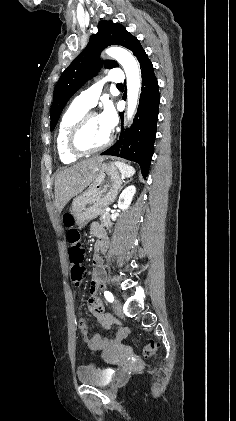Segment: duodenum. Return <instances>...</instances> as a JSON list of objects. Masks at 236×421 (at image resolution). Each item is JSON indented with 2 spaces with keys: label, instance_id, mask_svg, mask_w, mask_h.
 <instances>
[{
  "label": "duodenum",
  "instance_id": "obj_1",
  "mask_svg": "<svg viewBox=\"0 0 236 421\" xmlns=\"http://www.w3.org/2000/svg\"><path fill=\"white\" fill-rule=\"evenodd\" d=\"M96 235L99 238V240L97 242V249L103 252L107 249L108 243H109V241H108V239L105 235V231L99 230ZM93 278H94V282L98 285H101L104 281V278H105V270H104L102 261L99 258H97L94 261ZM92 310L97 312V311H99V308L94 307ZM101 322L106 327L109 325V322L105 318H102ZM81 330H82V333L86 336L87 335L86 327L85 326L82 327ZM96 341L100 346H109L113 342V341H109V340L102 341L100 339H96Z\"/></svg>",
  "mask_w": 236,
  "mask_h": 421
}]
</instances>
